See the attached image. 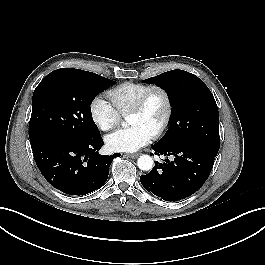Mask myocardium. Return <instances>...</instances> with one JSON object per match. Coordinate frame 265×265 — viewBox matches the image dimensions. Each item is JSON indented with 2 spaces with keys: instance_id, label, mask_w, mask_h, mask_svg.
Returning <instances> with one entry per match:
<instances>
[{
  "instance_id": "1",
  "label": "myocardium",
  "mask_w": 265,
  "mask_h": 265,
  "mask_svg": "<svg viewBox=\"0 0 265 265\" xmlns=\"http://www.w3.org/2000/svg\"><path fill=\"white\" fill-rule=\"evenodd\" d=\"M159 93L163 96L166 104L165 114L163 116L162 121L158 125V127L152 133L154 138L160 137L168 128L172 115H173V101L170 93L167 89L162 86L154 85L151 86L147 91H145L142 96L138 99V101L133 105V107L128 112L130 113H141L145 110L149 100L155 94Z\"/></svg>"
}]
</instances>
